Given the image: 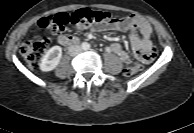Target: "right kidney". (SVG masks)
<instances>
[{"label": "right kidney", "instance_id": "obj_1", "mask_svg": "<svg viewBox=\"0 0 194 133\" xmlns=\"http://www.w3.org/2000/svg\"><path fill=\"white\" fill-rule=\"evenodd\" d=\"M62 56V48L60 46L51 47L40 62V70L43 72H49L54 70L60 62Z\"/></svg>", "mask_w": 194, "mask_h": 133}]
</instances>
